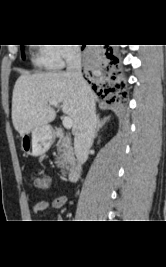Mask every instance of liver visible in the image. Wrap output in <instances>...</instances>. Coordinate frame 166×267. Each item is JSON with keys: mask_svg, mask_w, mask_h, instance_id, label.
I'll use <instances>...</instances> for the list:
<instances>
[{"mask_svg": "<svg viewBox=\"0 0 166 267\" xmlns=\"http://www.w3.org/2000/svg\"><path fill=\"white\" fill-rule=\"evenodd\" d=\"M93 98L95 99L94 94ZM49 101L61 103L63 112L72 119L75 134L80 121L82 93L74 86L66 72H49L22 74L15 83L12 122L21 137L55 119L56 111Z\"/></svg>", "mask_w": 166, "mask_h": 267, "instance_id": "1", "label": "liver"}]
</instances>
